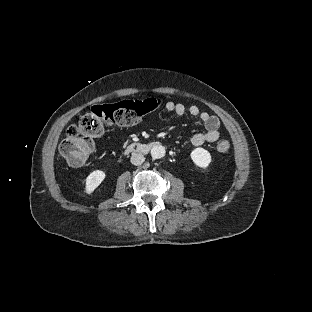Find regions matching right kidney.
I'll use <instances>...</instances> for the list:
<instances>
[{
  "label": "right kidney",
  "mask_w": 312,
  "mask_h": 312,
  "mask_svg": "<svg viewBox=\"0 0 312 312\" xmlns=\"http://www.w3.org/2000/svg\"><path fill=\"white\" fill-rule=\"evenodd\" d=\"M107 174L103 170H95L91 172L85 181L83 192L85 195H92L100 184L105 180Z\"/></svg>",
  "instance_id": "1"
}]
</instances>
